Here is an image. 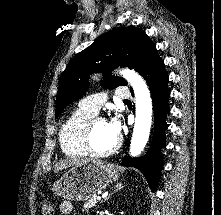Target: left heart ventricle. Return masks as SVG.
<instances>
[{"label": "left heart ventricle", "instance_id": "obj_1", "mask_svg": "<svg viewBox=\"0 0 221 215\" xmlns=\"http://www.w3.org/2000/svg\"><path fill=\"white\" fill-rule=\"evenodd\" d=\"M117 141V138L112 135L106 121H99L95 124L92 135L93 146L104 151L111 148Z\"/></svg>", "mask_w": 221, "mask_h": 215}]
</instances>
